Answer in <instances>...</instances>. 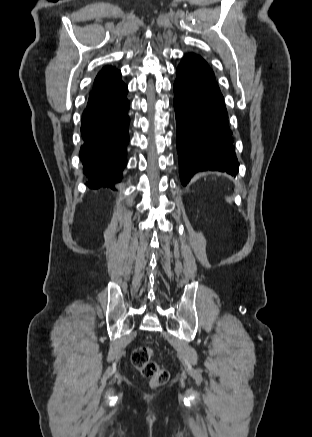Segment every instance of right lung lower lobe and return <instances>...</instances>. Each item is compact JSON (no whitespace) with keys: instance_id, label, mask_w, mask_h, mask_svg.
Listing matches in <instances>:
<instances>
[{"instance_id":"right-lung-lower-lobe-1","label":"right lung lower lobe","mask_w":312,"mask_h":437,"mask_svg":"<svg viewBox=\"0 0 312 437\" xmlns=\"http://www.w3.org/2000/svg\"><path fill=\"white\" fill-rule=\"evenodd\" d=\"M127 86L121 74L93 89L82 116L84 144L80 158L90 188L111 187L121 180L126 166L128 137Z\"/></svg>"}]
</instances>
